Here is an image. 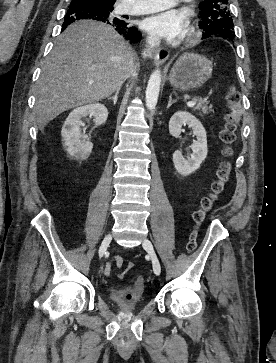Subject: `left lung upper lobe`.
<instances>
[{
	"instance_id": "left-lung-upper-lobe-1",
	"label": "left lung upper lobe",
	"mask_w": 276,
	"mask_h": 363,
	"mask_svg": "<svg viewBox=\"0 0 276 363\" xmlns=\"http://www.w3.org/2000/svg\"><path fill=\"white\" fill-rule=\"evenodd\" d=\"M199 7L201 9L200 25L204 31L203 38H234V25L228 8V0H204Z\"/></svg>"
}]
</instances>
